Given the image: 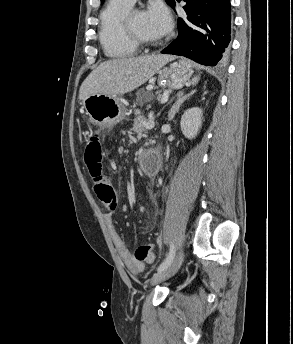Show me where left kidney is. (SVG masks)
I'll return each mask as SVG.
<instances>
[{
    "mask_svg": "<svg viewBox=\"0 0 293 344\" xmlns=\"http://www.w3.org/2000/svg\"><path fill=\"white\" fill-rule=\"evenodd\" d=\"M202 109L198 107L190 108L181 117L180 126L183 135L188 139L197 136L202 125Z\"/></svg>",
    "mask_w": 293,
    "mask_h": 344,
    "instance_id": "left-kidney-1",
    "label": "left kidney"
}]
</instances>
